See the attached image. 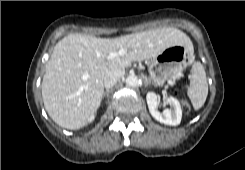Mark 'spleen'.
<instances>
[{
	"mask_svg": "<svg viewBox=\"0 0 245 170\" xmlns=\"http://www.w3.org/2000/svg\"><path fill=\"white\" fill-rule=\"evenodd\" d=\"M187 94L195 110H199L204 105L208 95V83L205 69L200 62H195L192 66Z\"/></svg>",
	"mask_w": 245,
	"mask_h": 170,
	"instance_id": "obj_1",
	"label": "spleen"
}]
</instances>
